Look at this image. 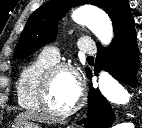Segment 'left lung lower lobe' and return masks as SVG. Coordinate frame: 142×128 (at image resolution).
<instances>
[{
	"label": "left lung lower lobe",
	"instance_id": "obj_1",
	"mask_svg": "<svg viewBox=\"0 0 142 128\" xmlns=\"http://www.w3.org/2000/svg\"><path fill=\"white\" fill-rule=\"evenodd\" d=\"M138 56L139 50L136 46V31L133 22L114 37L107 49L98 45L95 74L98 75L100 70L105 69L115 79L133 86L139 68ZM86 72L88 77L92 75L89 69ZM88 106V116L79 121V124H84L86 128H110L112 126L115 119L114 112L99 90L90 87Z\"/></svg>",
	"mask_w": 142,
	"mask_h": 128
}]
</instances>
